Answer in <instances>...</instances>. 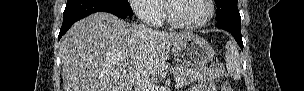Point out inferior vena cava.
<instances>
[{
  "instance_id": "602c4592",
  "label": "inferior vena cava",
  "mask_w": 304,
  "mask_h": 91,
  "mask_svg": "<svg viewBox=\"0 0 304 91\" xmlns=\"http://www.w3.org/2000/svg\"><path fill=\"white\" fill-rule=\"evenodd\" d=\"M134 91H154L153 83L148 75L139 76L134 83Z\"/></svg>"
}]
</instances>
